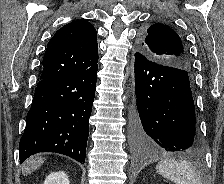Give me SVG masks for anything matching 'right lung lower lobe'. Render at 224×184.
Returning <instances> with one entry per match:
<instances>
[{
    "mask_svg": "<svg viewBox=\"0 0 224 184\" xmlns=\"http://www.w3.org/2000/svg\"><path fill=\"white\" fill-rule=\"evenodd\" d=\"M97 70L96 64L39 81L19 144L20 163L39 152L60 153L85 162Z\"/></svg>",
    "mask_w": 224,
    "mask_h": 184,
    "instance_id": "98d812e1",
    "label": "right lung lower lobe"
}]
</instances>
